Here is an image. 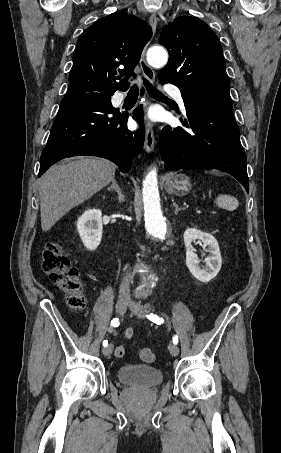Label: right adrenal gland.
<instances>
[{
  "instance_id": "right-adrenal-gland-1",
  "label": "right adrenal gland",
  "mask_w": 281,
  "mask_h": 453,
  "mask_svg": "<svg viewBox=\"0 0 281 453\" xmlns=\"http://www.w3.org/2000/svg\"><path fill=\"white\" fill-rule=\"evenodd\" d=\"M107 188H108V190H111V192H113V190H115V192H117L118 202H124L125 196H124L119 184H117V180H115V178H113L112 184H110V186H107Z\"/></svg>"
}]
</instances>
